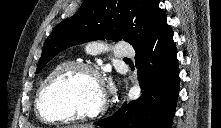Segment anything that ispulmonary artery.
<instances>
[{
  "mask_svg": "<svg viewBox=\"0 0 221 128\" xmlns=\"http://www.w3.org/2000/svg\"><path fill=\"white\" fill-rule=\"evenodd\" d=\"M86 47L91 51H98L102 49L103 45L98 42H89L87 43ZM112 49L115 57L124 60H130V58L134 55V52L127 48L124 43H116L112 46Z\"/></svg>",
  "mask_w": 221,
  "mask_h": 128,
  "instance_id": "obj_1",
  "label": "pulmonary artery"
}]
</instances>
